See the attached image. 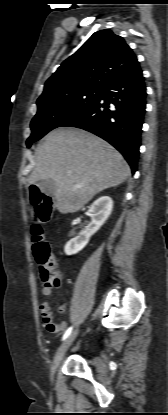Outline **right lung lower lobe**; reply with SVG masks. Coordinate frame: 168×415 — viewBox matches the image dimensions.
Masks as SVG:
<instances>
[{
	"label": "right lung lower lobe",
	"instance_id": "1",
	"mask_svg": "<svg viewBox=\"0 0 168 415\" xmlns=\"http://www.w3.org/2000/svg\"><path fill=\"white\" fill-rule=\"evenodd\" d=\"M146 87L139 63L104 88L100 98L62 126L84 129L122 153L132 173L137 170Z\"/></svg>",
	"mask_w": 168,
	"mask_h": 415
}]
</instances>
